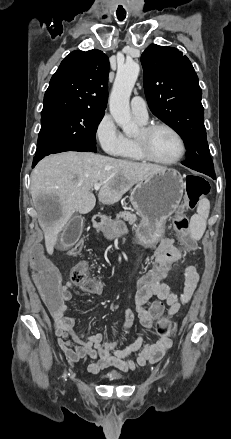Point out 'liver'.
<instances>
[{
  "instance_id": "6515ba94",
  "label": "liver",
  "mask_w": 231,
  "mask_h": 439,
  "mask_svg": "<svg viewBox=\"0 0 231 439\" xmlns=\"http://www.w3.org/2000/svg\"><path fill=\"white\" fill-rule=\"evenodd\" d=\"M166 169L165 167L115 159L90 152H63L45 157L31 173V194L44 232L48 254H53L59 233L75 211L87 214L96 204L91 192L94 184H102L98 199L114 204L133 185ZM48 197L56 209L44 213L47 207L39 201Z\"/></svg>"
}]
</instances>
